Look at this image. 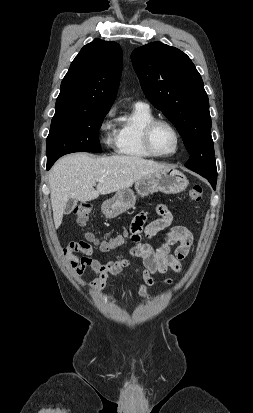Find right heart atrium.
Returning a JSON list of instances; mask_svg holds the SVG:
<instances>
[{
	"label": "right heart atrium",
	"instance_id": "d8ad5b80",
	"mask_svg": "<svg viewBox=\"0 0 253 413\" xmlns=\"http://www.w3.org/2000/svg\"><path fill=\"white\" fill-rule=\"evenodd\" d=\"M114 116L115 109H109L99 125V131L104 134L103 143L109 148L116 145L117 128L113 120Z\"/></svg>",
	"mask_w": 253,
	"mask_h": 413
}]
</instances>
